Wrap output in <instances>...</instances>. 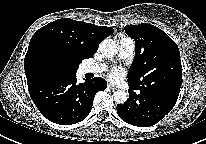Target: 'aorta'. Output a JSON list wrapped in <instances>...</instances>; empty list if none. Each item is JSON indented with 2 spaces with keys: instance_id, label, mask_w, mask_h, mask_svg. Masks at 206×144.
<instances>
[{
  "instance_id": "obj_1",
  "label": "aorta",
  "mask_w": 206,
  "mask_h": 144,
  "mask_svg": "<svg viewBox=\"0 0 206 144\" xmlns=\"http://www.w3.org/2000/svg\"><path fill=\"white\" fill-rule=\"evenodd\" d=\"M99 50L104 57L113 58L118 52V47L114 40L104 39L99 45ZM113 96L117 104H124L128 99V93L125 90H116Z\"/></svg>"
}]
</instances>
